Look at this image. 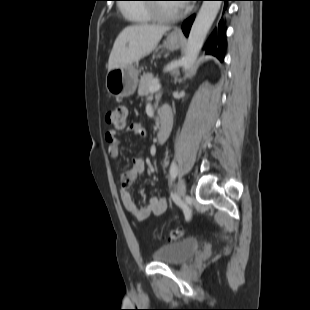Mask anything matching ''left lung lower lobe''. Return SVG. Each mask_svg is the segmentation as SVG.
<instances>
[{"mask_svg":"<svg viewBox=\"0 0 310 310\" xmlns=\"http://www.w3.org/2000/svg\"><path fill=\"white\" fill-rule=\"evenodd\" d=\"M221 1H224L225 3L224 9H226L227 2L231 0H221ZM194 18L195 16L193 15L183 22L182 30L185 36H188ZM224 31H225L224 23L221 20L219 22L218 28H216L211 34L206 46L207 53L213 54L220 61H223L226 46Z\"/></svg>","mask_w":310,"mask_h":310,"instance_id":"obj_1","label":"left lung lower lobe"}]
</instances>
